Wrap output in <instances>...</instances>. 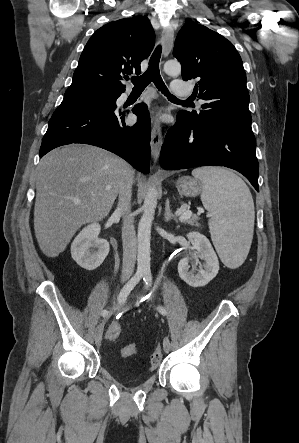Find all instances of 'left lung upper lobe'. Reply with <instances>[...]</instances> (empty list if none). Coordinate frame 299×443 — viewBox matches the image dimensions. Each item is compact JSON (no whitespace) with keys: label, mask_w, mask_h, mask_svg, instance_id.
<instances>
[{"label":"left lung upper lobe","mask_w":299,"mask_h":443,"mask_svg":"<svg viewBox=\"0 0 299 443\" xmlns=\"http://www.w3.org/2000/svg\"><path fill=\"white\" fill-rule=\"evenodd\" d=\"M173 55L182 66L183 80L197 79L201 111H180L188 120L204 125L251 126L249 93L240 55L233 44L207 27L189 23L179 32Z\"/></svg>","instance_id":"obj_1"}]
</instances>
